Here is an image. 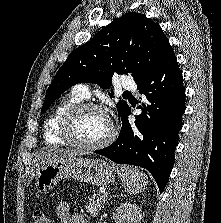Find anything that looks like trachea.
Returning a JSON list of instances; mask_svg holds the SVG:
<instances>
[{
    "mask_svg": "<svg viewBox=\"0 0 221 223\" xmlns=\"http://www.w3.org/2000/svg\"><path fill=\"white\" fill-rule=\"evenodd\" d=\"M123 94H124V95H130L131 93L128 92V91H125Z\"/></svg>",
    "mask_w": 221,
    "mask_h": 223,
    "instance_id": "obj_1",
    "label": "trachea"
}]
</instances>
